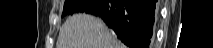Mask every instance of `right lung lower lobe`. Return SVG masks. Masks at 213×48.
I'll return each mask as SVG.
<instances>
[{
  "instance_id": "98d812e1",
  "label": "right lung lower lobe",
  "mask_w": 213,
  "mask_h": 48,
  "mask_svg": "<svg viewBox=\"0 0 213 48\" xmlns=\"http://www.w3.org/2000/svg\"><path fill=\"white\" fill-rule=\"evenodd\" d=\"M156 0H90L83 12L93 14L130 48H149Z\"/></svg>"
}]
</instances>
